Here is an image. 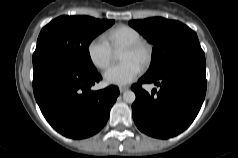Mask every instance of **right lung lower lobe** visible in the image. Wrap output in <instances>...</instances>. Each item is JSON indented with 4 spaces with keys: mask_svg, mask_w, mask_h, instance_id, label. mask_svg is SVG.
<instances>
[{
    "mask_svg": "<svg viewBox=\"0 0 238 158\" xmlns=\"http://www.w3.org/2000/svg\"><path fill=\"white\" fill-rule=\"evenodd\" d=\"M33 91L48 123L62 135L82 139L106 124L119 89L90 88L101 80L95 71H85L54 55L33 60Z\"/></svg>",
    "mask_w": 238,
    "mask_h": 158,
    "instance_id": "right-lung-lower-lobe-1",
    "label": "right lung lower lobe"
}]
</instances>
